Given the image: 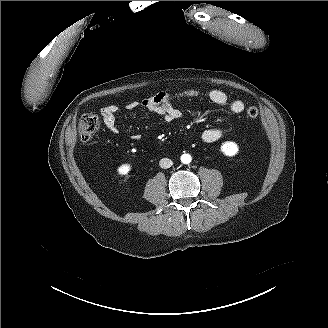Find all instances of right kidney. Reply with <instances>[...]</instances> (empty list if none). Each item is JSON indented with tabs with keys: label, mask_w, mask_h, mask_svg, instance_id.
I'll return each mask as SVG.
<instances>
[{
	"label": "right kidney",
	"mask_w": 328,
	"mask_h": 328,
	"mask_svg": "<svg viewBox=\"0 0 328 328\" xmlns=\"http://www.w3.org/2000/svg\"><path fill=\"white\" fill-rule=\"evenodd\" d=\"M133 166L131 164H121L118 169L117 172L120 176H127L131 170H132Z\"/></svg>",
	"instance_id": "ca27d5eb"
}]
</instances>
